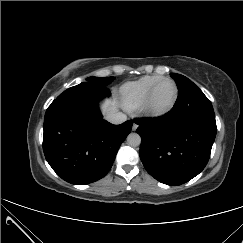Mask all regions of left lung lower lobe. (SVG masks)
<instances>
[{
	"label": "left lung lower lobe",
	"instance_id": "left-lung-lower-lobe-1",
	"mask_svg": "<svg viewBox=\"0 0 243 243\" xmlns=\"http://www.w3.org/2000/svg\"><path fill=\"white\" fill-rule=\"evenodd\" d=\"M180 92L175 105L157 118L134 119L141 136L140 159L147 172L167 185H181L206 166L216 136L215 118L181 113Z\"/></svg>",
	"mask_w": 243,
	"mask_h": 243
}]
</instances>
